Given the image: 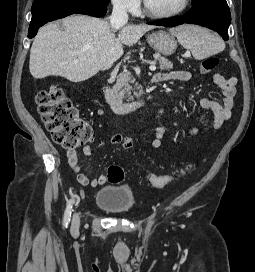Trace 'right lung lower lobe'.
<instances>
[{
    "instance_id": "right-lung-lower-lobe-1",
    "label": "right lung lower lobe",
    "mask_w": 255,
    "mask_h": 272,
    "mask_svg": "<svg viewBox=\"0 0 255 272\" xmlns=\"http://www.w3.org/2000/svg\"><path fill=\"white\" fill-rule=\"evenodd\" d=\"M107 6L87 0H35L31 12L32 19L28 37L33 38L38 29L45 23L66 17L71 14H86L102 17Z\"/></svg>"
}]
</instances>
